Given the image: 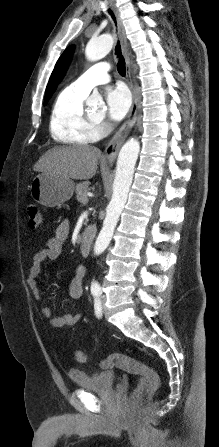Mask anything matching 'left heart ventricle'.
I'll list each match as a JSON object with an SVG mask.
<instances>
[{
    "instance_id": "obj_1",
    "label": "left heart ventricle",
    "mask_w": 219,
    "mask_h": 447,
    "mask_svg": "<svg viewBox=\"0 0 219 447\" xmlns=\"http://www.w3.org/2000/svg\"><path fill=\"white\" fill-rule=\"evenodd\" d=\"M90 115H91V117H92L93 119L99 121V120L103 117V115H104V111H103V110H96V111L91 112Z\"/></svg>"
}]
</instances>
